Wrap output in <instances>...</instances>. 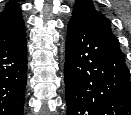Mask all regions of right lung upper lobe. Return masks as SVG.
Returning <instances> with one entry per match:
<instances>
[{
    "label": "right lung upper lobe",
    "mask_w": 131,
    "mask_h": 115,
    "mask_svg": "<svg viewBox=\"0 0 131 115\" xmlns=\"http://www.w3.org/2000/svg\"><path fill=\"white\" fill-rule=\"evenodd\" d=\"M25 35L21 9L10 1L0 13V48L18 42Z\"/></svg>",
    "instance_id": "1"
}]
</instances>
